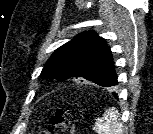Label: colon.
<instances>
[{"mask_svg":"<svg viewBox=\"0 0 153 134\" xmlns=\"http://www.w3.org/2000/svg\"><path fill=\"white\" fill-rule=\"evenodd\" d=\"M74 125L67 110L57 109L49 120V127L39 134H73Z\"/></svg>","mask_w":153,"mask_h":134,"instance_id":"colon-1","label":"colon"}]
</instances>
